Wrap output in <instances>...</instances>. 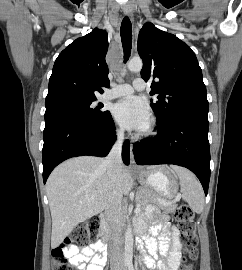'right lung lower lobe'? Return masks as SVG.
<instances>
[{
    "mask_svg": "<svg viewBox=\"0 0 242 270\" xmlns=\"http://www.w3.org/2000/svg\"><path fill=\"white\" fill-rule=\"evenodd\" d=\"M42 149L43 181L64 160L83 155L106 156L116 140L111 114L92 120L80 113L52 116L45 120ZM122 159L130 163V143L123 144Z\"/></svg>",
    "mask_w": 242,
    "mask_h": 270,
    "instance_id": "1",
    "label": "right lung lower lobe"
}]
</instances>
